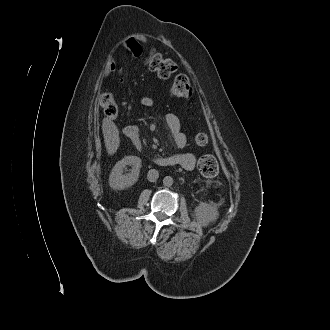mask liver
Returning <instances> with one entry per match:
<instances>
[{
    "instance_id": "1",
    "label": "liver",
    "mask_w": 330,
    "mask_h": 330,
    "mask_svg": "<svg viewBox=\"0 0 330 330\" xmlns=\"http://www.w3.org/2000/svg\"><path fill=\"white\" fill-rule=\"evenodd\" d=\"M102 131L104 134L107 152L112 155L116 152L120 144L119 130L111 120L104 118L102 123Z\"/></svg>"
}]
</instances>
